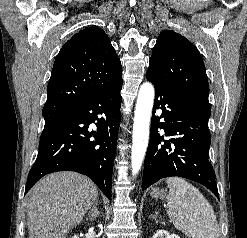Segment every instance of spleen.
Instances as JSON below:
<instances>
[{
    "label": "spleen",
    "mask_w": 247,
    "mask_h": 238,
    "mask_svg": "<svg viewBox=\"0 0 247 238\" xmlns=\"http://www.w3.org/2000/svg\"><path fill=\"white\" fill-rule=\"evenodd\" d=\"M167 214L176 229L189 238H219L215 213L202 193L180 177L166 179Z\"/></svg>",
    "instance_id": "3e777b00"
}]
</instances>
